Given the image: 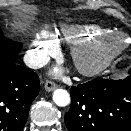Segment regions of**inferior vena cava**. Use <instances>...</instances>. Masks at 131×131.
I'll return each mask as SVG.
<instances>
[{
    "label": "inferior vena cava",
    "mask_w": 131,
    "mask_h": 131,
    "mask_svg": "<svg viewBox=\"0 0 131 131\" xmlns=\"http://www.w3.org/2000/svg\"><path fill=\"white\" fill-rule=\"evenodd\" d=\"M49 62V57L43 54L27 53L24 55V63L32 69L42 68Z\"/></svg>",
    "instance_id": "inferior-vena-cava-1"
}]
</instances>
